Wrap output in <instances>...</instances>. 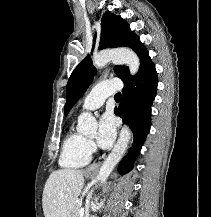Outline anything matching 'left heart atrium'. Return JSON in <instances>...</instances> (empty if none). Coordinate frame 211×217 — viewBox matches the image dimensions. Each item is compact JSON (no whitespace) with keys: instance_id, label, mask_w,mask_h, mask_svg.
Listing matches in <instances>:
<instances>
[{"instance_id":"1","label":"left heart atrium","mask_w":211,"mask_h":217,"mask_svg":"<svg viewBox=\"0 0 211 217\" xmlns=\"http://www.w3.org/2000/svg\"><path fill=\"white\" fill-rule=\"evenodd\" d=\"M116 137V126L110 113L104 114L99 121L97 143L101 148H109Z\"/></svg>"}]
</instances>
